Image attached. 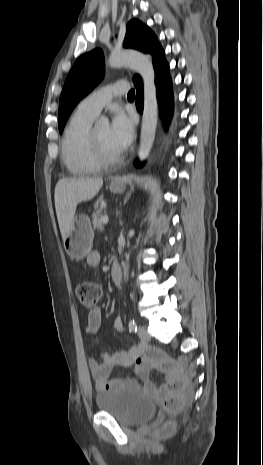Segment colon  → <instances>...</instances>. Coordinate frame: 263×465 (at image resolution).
Returning a JSON list of instances; mask_svg holds the SVG:
<instances>
[{
	"label": "colon",
	"mask_w": 263,
	"mask_h": 465,
	"mask_svg": "<svg viewBox=\"0 0 263 465\" xmlns=\"http://www.w3.org/2000/svg\"><path fill=\"white\" fill-rule=\"evenodd\" d=\"M77 297L81 305L88 310L95 308L101 296L100 287L93 282H82L76 288ZM162 405L170 414H176L185 402V395L183 393V383L179 379H175L172 383L166 385L163 393ZM172 422L166 423L162 430L169 432L173 429Z\"/></svg>",
	"instance_id": "5ec220e1"
}]
</instances>
